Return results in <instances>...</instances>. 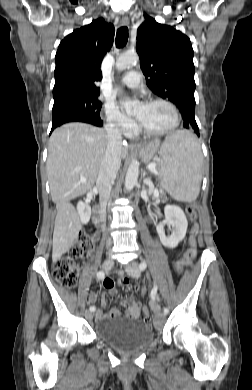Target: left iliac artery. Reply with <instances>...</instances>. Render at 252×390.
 Listing matches in <instances>:
<instances>
[{"label":"left iliac artery","mask_w":252,"mask_h":390,"mask_svg":"<svg viewBox=\"0 0 252 390\" xmlns=\"http://www.w3.org/2000/svg\"><path fill=\"white\" fill-rule=\"evenodd\" d=\"M147 267V264L145 261H142L140 264H139V269L140 271H143L145 270ZM150 297L152 300H156V297H157V285H154L152 291H151V294H150ZM169 313V309L167 307L164 308V314H168Z\"/></svg>","instance_id":"obj_1"}]
</instances>
